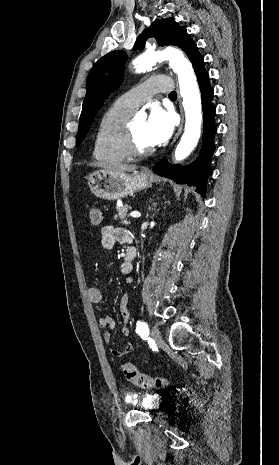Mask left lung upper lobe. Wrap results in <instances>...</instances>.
Masks as SVG:
<instances>
[{"label":"left lung upper lobe","instance_id":"5c2ea615","mask_svg":"<svg viewBox=\"0 0 279 465\" xmlns=\"http://www.w3.org/2000/svg\"><path fill=\"white\" fill-rule=\"evenodd\" d=\"M149 37H154L161 46L175 45L180 47L186 52L192 64L201 56L186 28L179 26L174 18L156 19L137 38L134 49L142 50ZM125 61L124 51H112L100 58L91 69L87 79V94L80 116L77 146L84 139L104 100L121 84Z\"/></svg>","mask_w":279,"mask_h":465}]
</instances>
